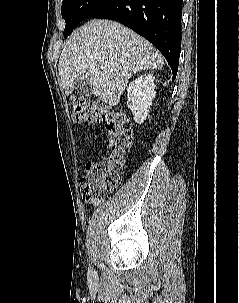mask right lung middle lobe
I'll list each match as a JSON object with an SVG mask.
<instances>
[{"label":"right lung middle lobe","instance_id":"obj_1","mask_svg":"<svg viewBox=\"0 0 239 303\" xmlns=\"http://www.w3.org/2000/svg\"><path fill=\"white\" fill-rule=\"evenodd\" d=\"M106 0H63L62 17L66 26L64 37L72 33L73 29L91 12L102 5Z\"/></svg>","mask_w":239,"mask_h":303}]
</instances>
